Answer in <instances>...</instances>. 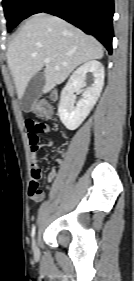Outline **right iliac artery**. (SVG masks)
Listing matches in <instances>:
<instances>
[{
  "instance_id": "right-iliac-artery-1",
  "label": "right iliac artery",
  "mask_w": 134,
  "mask_h": 281,
  "mask_svg": "<svg viewBox=\"0 0 134 281\" xmlns=\"http://www.w3.org/2000/svg\"><path fill=\"white\" fill-rule=\"evenodd\" d=\"M35 232H36V226L33 225V227H32V232H31V237H32V239H33L34 236H35Z\"/></svg>"
}]
</instances>
